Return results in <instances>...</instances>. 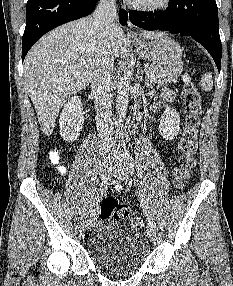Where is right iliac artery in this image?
<instances>
[{"instance_id": "right-iliac-artery-1", "label": "right iliac artery", "mask_w": 233, "mask_h": 286, "mask_svg": "<svg viewBox=\"0 0 233 286\" xmlns=\"http://www.w3.org/2000/svg\"><path fill=\"white\" fill-rule=\"evenodd\" d=\"M107 186H108V178H105L102 180L100 187L98 189V192H97L95 198L93 199V201L91 202L89 213L92 214L95 211V207L98 205L102 195L104 194V192L107 189Z\"/></svg>"}]
</instances>
